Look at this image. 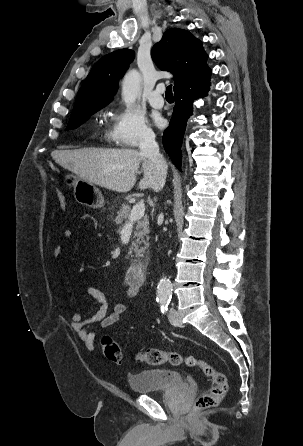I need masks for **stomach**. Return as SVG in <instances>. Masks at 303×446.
Listing matches in <instances>:
<instances>
[{
  "instance_id": "1",
  "label": "stomach",
  "mask_w": 303,
  "mask_h": 446,
  "mask_svg": "<svg viewBox=\"0 0 303 446\" xmlns=\"http://www.w3.org/2000/svg\"><path fill=\"white\" fill-rule=\"evenodd\" d=\"M64 183L69 187H73L74 197L78 203L91 208L104 206L102 193L94 184L73 173H68L64 176Z\"/></svg>"
}]
</instances>
